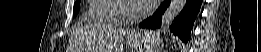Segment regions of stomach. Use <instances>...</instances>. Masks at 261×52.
<instances>
[{
	"mask_svg": "<svg viewBox=\"0 0 261 52\" xmlns=\"http://www.w3.org/2000/svg\"><path fill=\"white\" fill-rule=\"evenodd\" d=\"M159 35L156 32L140 31L135 35H129L127 43L133 50L139 52H151L159 43Z\"/></svg>",
	"mask_w": 261,
	"mask_h": 52,
	"instance_id": "1",
	"label": "stomach"
}]
</instances>
